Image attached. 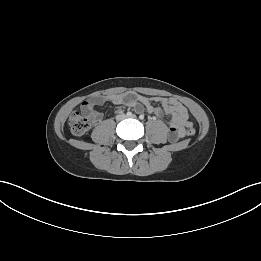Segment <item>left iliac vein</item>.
Returning a JSON list of instances; mask_svg holds the SVG:
<instances>
[{"mask_svg":"<svg viewBox=\"0 0 261 261\" xmlns=\"http://www.w3.org/2000/svg\"><path fill=\"white\" fill-rule=\"evenodd\" d=\"M131 117H132V118H135L136 116H135V115H132Z\"/></svg>","mask_w":261,"mask_h":261,"instance_id":"4c4485c4","label":"left iliac vein"}]
</instances>
